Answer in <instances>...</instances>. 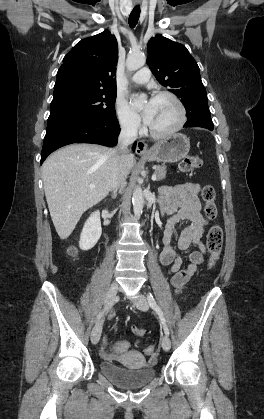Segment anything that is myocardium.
Listing matches in <instances>:
<instances>
[{
	"label": "myocardium",
	"mask_w": 264,
	"mask_h": 419,
	"mask_svg": "<svg viewBox=\"0 0 264 419\" xmlns=\"http://www.w3.org/2000/svg\"><path fill=\"white\" fill-rule=\"evenodd\" d=\"M159 97H166L169 98L170 100H172L174 102V104L177 107L178 110V120L176 122V124L171 127L170 129L163 131V132H158L153 130L151 127L148 128V132L150 134V136H152L153 138L156 139H164V138H168L170 136H172L173 134H175L176 132H178L183 125L185 124L186 121V110L184 107V104L182 103V101L180 100V98L167 90H162V91H158L155 93L154 98H159Z\"/></svg>",
	"instance_id": "obj_1"
}]
</instances>
